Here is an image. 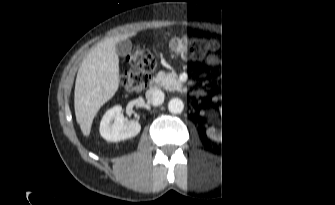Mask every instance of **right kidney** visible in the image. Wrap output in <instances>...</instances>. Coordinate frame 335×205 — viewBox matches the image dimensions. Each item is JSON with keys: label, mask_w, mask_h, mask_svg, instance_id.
<instances>
[{"label": "right kidney", "mask_w": 335, "mask_h": 205, "mask_svg": "<svg viewBox=\"0 0 335 205\" xmlns=\"http://www.w3.org/2000/svg\"><path fill=\"white\" fill-rule=\"evenodd\" d=\"M141 130L138 120L128 122L120 106L108 110L100 124V134L107 141H120L134 137Z\"/></svg>", "instance_id": "obj_1"}]
</instances>
